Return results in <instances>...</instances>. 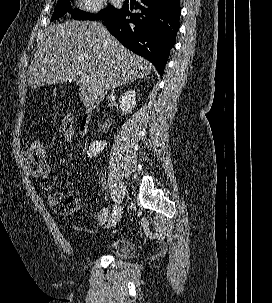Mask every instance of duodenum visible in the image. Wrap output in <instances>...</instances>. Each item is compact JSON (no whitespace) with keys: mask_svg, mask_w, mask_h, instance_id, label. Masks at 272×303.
Here are the masks:
<instances>
[{"mask_svg":"<svg viewBox=\"0 0 272 303\" xmlns=\"http://www.w3.org/2000/svg\"><path fill=\"white\" fill-rule=\"evenodd\" d=\"M90 116H91V113H90V111H88L80 123L79 134L81 136H84L87 133Z\"/></svg>","mask_w":272,"mask_h":303,"instance_id":"obj_1","label":"duodenum"}]
</instances>
